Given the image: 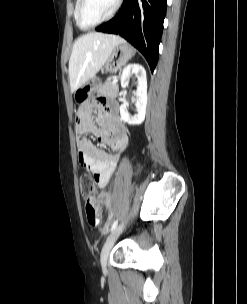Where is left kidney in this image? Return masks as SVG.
Wrapping results in <instances>:
<instances>
[{"mask_svg":"<svg viewBox=\"0 0 247 304\" xmlns=\"http://www.w3.org/2000/svg\"><path fill=\"white\" fill-rule=\"evenodd\" d=\"M132 74L137 76V90L134 93L136 96V109L137 114L131 116L127 110V104L123 103L120 106L121 118L130 125L141 124L145 119L146 105H147V79L146 71L144 67L140 64H129L124 68L121 75V86L127 87L129 84V78ZM134 100V99H133Z\"/></svg>","mask_w":247,"mask_h":304,"instance_id":"1","label":"left kidney"}]
</instances>
